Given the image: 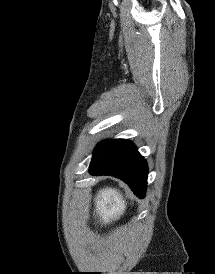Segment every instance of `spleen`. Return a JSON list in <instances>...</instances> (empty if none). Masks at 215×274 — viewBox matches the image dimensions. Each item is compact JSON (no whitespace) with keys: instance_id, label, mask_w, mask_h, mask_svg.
I'll return each instance as SVG.
<instances>
[{"instance_id":"1","label":"spleen","mask_w":215,"mask_h":274,"mask_svg":"<svg viewBox=\"0 0 215 274\" xmlns=\"http://www.w3.org/2000/svg\"><path fill=\"white\" fill-rule=\"evenodd\" d=\"M97 208L104 217H113L121 213L125 208V201L122 195L115 189H103L99 192L97 198Z\"/></svg>"}]
</instances>
